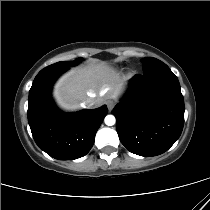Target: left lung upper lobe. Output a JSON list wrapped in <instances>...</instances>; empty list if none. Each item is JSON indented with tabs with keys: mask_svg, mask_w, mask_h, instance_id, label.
<instances>
[{
	"mask_svg": "<svg viewBox=\"0 0 210 210\" xmlns=\"http://www.w3.org/2000/svg\"><path fill=\"white\" fill-rule=\"evenodd\" d=\"M141 62L143 63V70L144 71H147L151 68H154L160 64H162L163 62L156 59V58H153V57H147V58H144L141 60Z\"/></svg>",
	"mask_w": 210,
	"mask_h": 210,
	"instance_id": "5c2ea615",
	"label": "left lung upper lobe"
}]
</instances>
